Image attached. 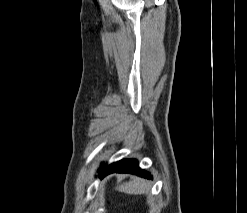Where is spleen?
Returning <instances> with one entry per match:
<instances>
[{"label": "spleen", "mask_w": 247, "mask_h": 213, "mask_svg": "<svg viewBox=\"0 0 247 213\" xmlns=\"http://www.w3.org/2000/svg\"><path fill=\"white\" fill-rule=\"evenodd\" d=\"M118 190L127 194H144L149 191V187L145 180L136 178L119 186Z\"/></svg>", "instance_id": "1"}]
</instances>
